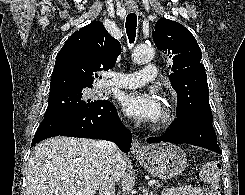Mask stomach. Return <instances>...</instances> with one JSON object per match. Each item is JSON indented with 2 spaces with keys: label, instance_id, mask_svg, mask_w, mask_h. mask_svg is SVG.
<instances>
[{
  "label": "stomach",
  "instance_id": "stomach-1",
  "mask_svg": "<svg viewBox=\"0 0 245 195\" xmlns=\"http://www.w3.org/2000/svg\"><path fill=\"white\" fill-rule=\"evenodd\" d=\"M135 158L151 175L164 180L181 174L187 166L185 152L171 143L144 146Z\"/></svg>",
  "mask_w": 245,
  "mask_h": 195
}]
</instances>
